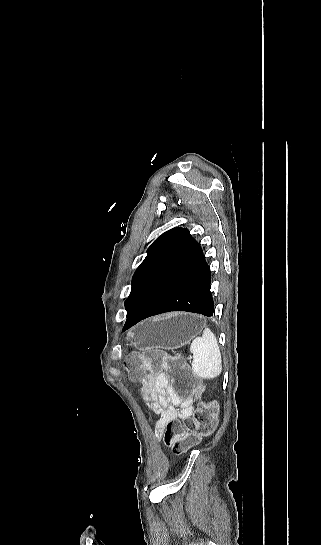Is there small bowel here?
Masks as SVG:
<instances>
[{
  "label": "small bowel",
  "instance_id": "c3829d8e",
  "mask_svg": "<svg viewBox=\"0 0 321 545\" xmlns=\"http://www.w3.org/2000/svg\"><path fill=\"white\" fill-rule=\"evenodd\" d=\"M139 391L149 408L159 415L155 435L161 439L165 425L170 420H184L193 413V399L181 398L166 378L145 377Z\"/></svg>",
  "mask_w": 321,
  "mask_h": 545
}]
</instances>
